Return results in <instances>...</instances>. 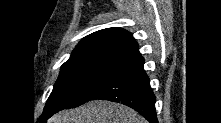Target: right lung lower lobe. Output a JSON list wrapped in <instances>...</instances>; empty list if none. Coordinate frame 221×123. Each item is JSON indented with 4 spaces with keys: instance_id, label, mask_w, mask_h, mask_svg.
<instances>
[{
    "instance_id": "1",
    "label": "right lung lower lobe",
    "mask_w": 221,
    "mask_h": 123,
    "mask_svg": "<svg viewBox=\"0 0 221 123\" xmlns=\"http://www.w3.org/2000/svg\"><path fill=\"white\" fill-rule=\"evenodd\" d=\"M143 64L141 55L129 59L94 88L88 101L99 99L122 103L138 111L150 123H157L155 96ZM53 114H43L42 120Z\"/></svg>"
}]
</instances>
